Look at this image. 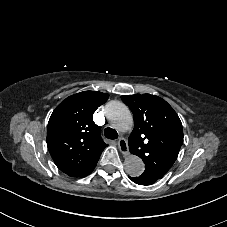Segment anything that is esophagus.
<instances>
[{"label": "esophagus", "mask_w": 227, "mask_h": 227, "mask_svg": "<svg viewBox=\"0 0 227 227\" xmlns=\"http://www.w3.org/2000/svg\"><path fill=\"white\" fill-rule=\"evenodd\" d=\"M118 147L123 155H129V147L125 138H119Z\"/></svg>", "instance_id": "esophagus-1"}]
</instances>
